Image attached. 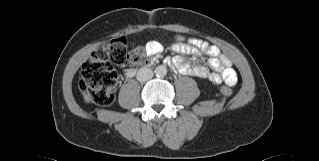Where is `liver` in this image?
I'll return each mask as SVG.
<instances>
[{
  "mask_svg": "<svg viewBox=\"0 0 319 161\" xmlns=\"http://www.w3.org/2000/svg\"><path fill=\"white\" fill-rule=\"evenodd\" d=\"M83 96H84L85 102L88 103V102H91V101H92V97H91L89 94L84 93Z\"/></svg>",
  "mask_w": 319,
  "mask_h": 161,
  "instance_id": "obj_1",
  "label": "liver"
}]
</instances>
